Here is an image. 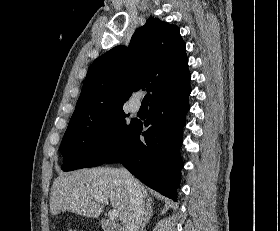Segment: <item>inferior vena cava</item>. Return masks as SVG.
<instances>
[{
	"label": "inferior vena cava",
	"instance_id": "obj_1",
	"mask_svg": "<svg viewBox=\"0 0 280 231\" xmlns=\"http://www.w3.org/2000/svg\"><path fill=\"white\" fill-rule=\"evenodd\" d=\"M130 195L131 209L124 221L123 231H139L145 213V203L138 179H135L127 169H122Z\"/></svg>",
	"mask_w": 280,
	"mask_h": 231
}]
</instances>
